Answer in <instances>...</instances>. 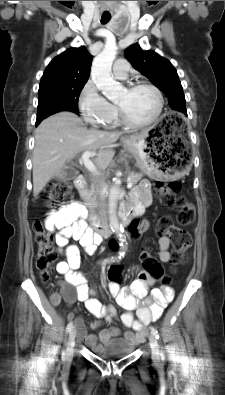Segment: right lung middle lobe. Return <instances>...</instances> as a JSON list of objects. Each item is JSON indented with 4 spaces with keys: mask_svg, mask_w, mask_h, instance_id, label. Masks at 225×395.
<instances>
[{
    "mask_svg": "<svg viewBox=\"0 0 225 395\" xmlns=\"http://www.w3.org/2000/svg\"><path fill=\"white\" fill-rule=\"evenodd\" d=\"M86 82L51 83L40 85L37 120L62 110L78 112V98Z\"/></svg>",
    "mask_w": 225,
    "mask_h": 395,
    "instance_id": "dd1d6c3e",
    "label": "right lung middle lobe"
}]
</instances>
